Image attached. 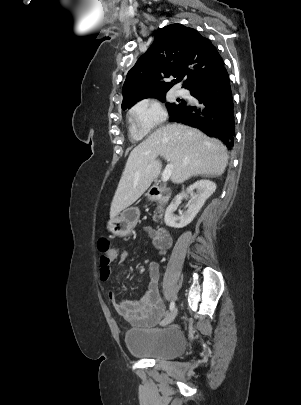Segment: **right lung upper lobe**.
Returning <instances> with one entry per match:
<instances>
[{
	"instance_id": "cb5924a9",
	"label": "right lung upper lobe",
	"mask_w": 301,
	"mask_h": 405,
	"mask_svg": "<svg viewBox=\"0 0 301 405\" xmlns=\"http://www.w3.org/2000/svg\"><path fill=\"white\" fill-rule=\"evenodd\" d=\"M224 70V61L211 41L197 30L175 23L155 33L153 44L129 70L123 85L122 108L132 107L141 99L167 92L176 77L182 87L192 90L214 80Z\"/></svg>"
}]
</instances>
